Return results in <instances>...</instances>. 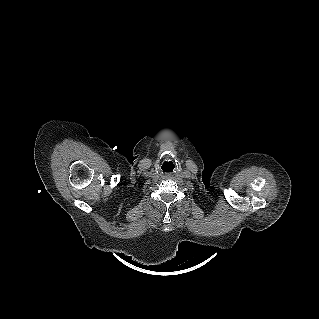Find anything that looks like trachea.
<instances>
[{
    "mask_svg": "<svg viewBox=\"0 0 319 319\" xmlns=\"http://www.w3.org/2000/svg\"><path fill=\"white\" fill-rule=\"evenodd\" d=\"M164 172H171L174 169V165L172 162L163 163L162 167Z\"/></svg>",
    "mask_w": 319,
    "mask_h": 319,
    "instance_id": "trachea-1",
    "label": "trachea"
}]
</instances>
